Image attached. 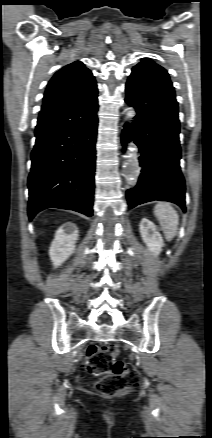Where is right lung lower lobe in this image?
Segmentation results:
<instances>
[{"mask_svg": "<svg viewBox=\"0 0 212 438\" xmlns=\"http://www.w3.org/2000/svg\"><path fill=\"white\" fill-rule=\"evenodd\" d=\"M97 111L96 96L40 112L28 177L30 220L47 208L93 215Z\"/></svg>", "mask_w": 212, "mask_h": 438, "instance_id": "right-lung-lower-lobe-1", "label": "right lung lower lobe"}]
</instances>
